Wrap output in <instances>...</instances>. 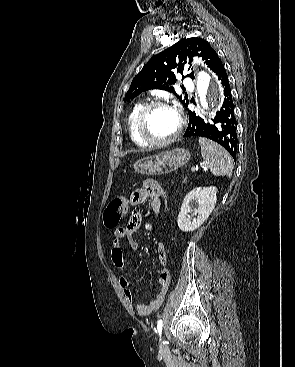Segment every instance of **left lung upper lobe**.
<instances>
[{"label": "left lung upper lobe", "mask_w": 295, "mask_h": 367, "mask_svg": "<svg viewBox=\"0 0 295 367\" xmlns=\"http://www.w3.org/2000/svg\"><path fill=\"white\" fill-rule=\"evenodd\" d=\"M198 56L205 60V64L213 70L218 58L216 51L210 44L198 37L185 38L154 56L143 69L134 77L129 90L125 95V101L133 99L140 93L161 89L174 93L181 103L187 108L189 100L182 99L174 91L176 78L174 73H187L186 76L194 79V72H189L187 63L193 61V57ZM188 57V58H187Z\"/></svg>", "instance_id": "5c2ea615"}]
</instances>
